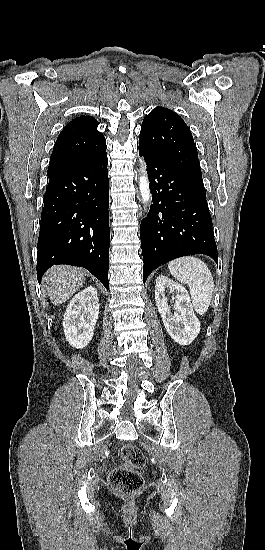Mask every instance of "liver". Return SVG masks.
<instances>
[{
    "label": "liver",
    "instance_id": "obj_1",
    "mask_svg": "<svg viewBox=\"0 0 265 550\" xmlns=\"http://www.w3.org/2000/svg\"><path fill=\"white\" fill-rule=\"evenodd\" d=\"M83 269L72 266H54L45 274L43 281L51 302L59 305L75 294L84 281Z\"/></svg>",
    "mask_w": 265,
    "mask_h": 550
}]
</instances>
